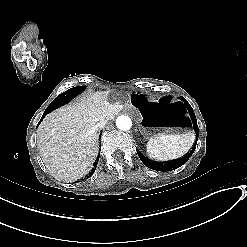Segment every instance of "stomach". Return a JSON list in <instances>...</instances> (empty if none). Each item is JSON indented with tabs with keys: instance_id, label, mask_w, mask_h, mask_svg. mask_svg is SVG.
<instances>
[{
	"instance_id": "obj_1",
	"label": "stomach",
	"mask_w": 247,
	"mask_h": 247,
	"mask_svg": "<svg viewBox=\"0 0 247 247\" xmlns=\"http://www.w3.org/2000/svg\"><path fill=\"white\" fill-rule=\"evenodd\" d=\"M131 106L138 113L139 129L146 138L188 131L189 119L183 103L169 96L154 98L149 94L133 93Z\"/></svg>"
}]
</instances>
